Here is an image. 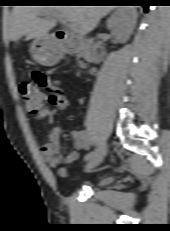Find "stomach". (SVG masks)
<instances>
[{"label":"stomach","instance_id":"0dacf381","mask_svg":"<svg viewBox=\"0 0 170 231\" xmlns=\"http://www.w3.org/2000/svg\"><path fill=\"white\" fill-rule=\"evenodd\" d=\"M33 59L42 65H53L59 60L58 52L47 36L36 38L30 45Z\"/></svg>","mask_w":170,"mask_h":231}]
</instances>
